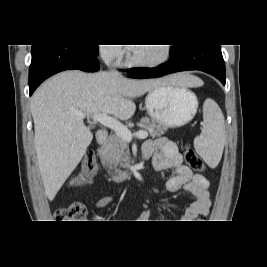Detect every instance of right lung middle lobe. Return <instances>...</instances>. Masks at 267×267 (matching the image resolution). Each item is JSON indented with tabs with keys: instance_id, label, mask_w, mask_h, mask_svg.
Returning a JSON list of instances; mask_svg holds the SVG:
<instances>
[{
	"instance_id": "right-lung-middle-lobe-1",
	"label": "right lung middle lobe",
	"mask_w": 267,
	"mask_h": 267,
	"mask_svg": "<svg viewBox=\"0 0 267 267\" xmlns=\"http://www.w3.org/2000/svg\"><path fill=\"white\" fill-rule=\"evenodd\" d=\"M85 46L89 48L90 50H92L93 52H95L96 54H98L99 52L98 45H85Z\"/></svg>"
}]
</instances>
